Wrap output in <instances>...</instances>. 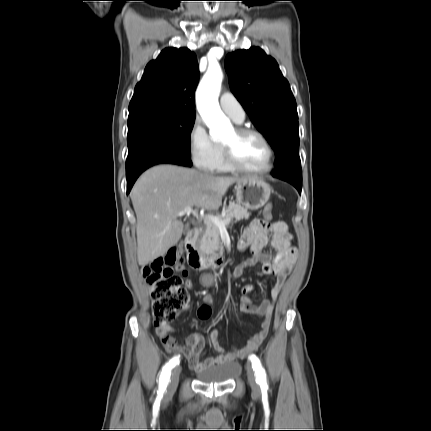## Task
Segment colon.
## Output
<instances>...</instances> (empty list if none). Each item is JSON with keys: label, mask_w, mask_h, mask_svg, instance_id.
Segmentation results:
<instances>
[{"label": "colon", "mask_w": 431, "mask_h": 431, "mask_svg": "<svg viewBox=\"0 0 431 431\" xmlns=\"http://www.w3.org/2000/svg\"><path fill=\"white\" fill-rule=\"evenodd\" d=\"M264 217H272V204L266 205ZM183 263L182 252L172 248L143 269L144 277L151 288L153 315L158 327L166 325L189 300L182 277L174 272V267L182 268ZM229 282H235V279H229ZM218 287H222V284H218ZM223 287H226V284H223ZM227 287H231V284H227ZM208 295H211V292H208ZM217 295H220V292H217ZM186 311H189V308H186ZM211 313V303L202 301L196 316L199 322H211Z\"/></svg>", "instance_id": "1"}]
</instances>
